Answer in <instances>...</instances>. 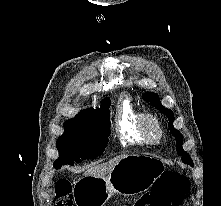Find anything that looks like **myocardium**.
Returning a JSON list of instances; mask_svg holds the SVG:
<instances>
[{"instance_id":"myocardium-1","label":"myocardium","mask_w":221,"mask_h":206,"mask_svg":"<svg viewBox=\"0 0 221 206\" xmlns=\"http://www.w3.org/2000/svg\"><path fill=\"white\" fill-rule=\"evenodd\" d=\"M138 126L140 133L148 144L158 145L163 140L164 128L156 116L150 113H141L138 119ZM153 128L157 131L156 137L152 136L151 129Z\"/></svg>"}]
</instances>
